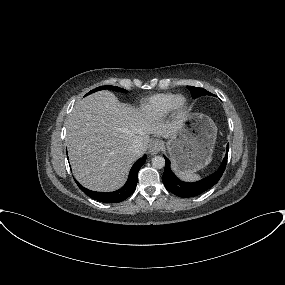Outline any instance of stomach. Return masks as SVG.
Here are the masks:
<instances>
[{
    "mask_svg": "<svg viewBox=\"0 0 285 285\" xmlns=\"http://www.w3.org/2000/svg\"><path fill=\"white\" fill-rule=\"evenodd\" d=\"M217 136L213 120L203 114L192 115L167 142L173 169L177 173L196 172L211 161Z\"/></svg>",
    "mask_w": 285,
    "mask_h": 285,
    "instance_id": "1",
    "label": "stomach"
}]
</instances>
